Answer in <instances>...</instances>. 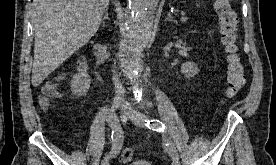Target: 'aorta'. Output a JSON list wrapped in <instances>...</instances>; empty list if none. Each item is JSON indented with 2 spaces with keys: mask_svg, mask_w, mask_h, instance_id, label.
Listing matches in <instances>:
<instances>
[{
  "mask_svg": "<svg viewBox=\"0 0 276 165\" xmlns=\"http://www.w3.org/2000/svg\"><path fill=\"white\" fill-rule=\"evenodd\" d=\"M159 0H128L126 8L125 34L122 44L121 65L129 75L141 69L139 54L152 35L155 10Z\"/></svg>",
  "mask_w": 276,
  "mask_h": 165,
  "instance_id": "obj_1",
  "label": "aorta"
}]
</instances>
